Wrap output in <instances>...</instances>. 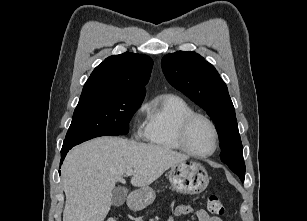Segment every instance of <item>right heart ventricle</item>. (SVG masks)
Wrapping results in <instances>:
<instances>
[{
    "label": "right heart ventricle",
    "mask_w": 307,
    "mask_h": 221,
    "mask_svg": "<svg viewBox=\"0 0 307 221\" xmlns=\"http://www.w3.org/2000/svg\"><path fill=\"white\" fill-rule=\"evenodd\" d=\"M148 120L144 129L145 138L153 145L169 150H180L177 131L181 121L193 108L181 97L164 94L145 106Z\"/></svg>",
    "instance_id": "right-heart-ventricle-1"
}]
</instances>
